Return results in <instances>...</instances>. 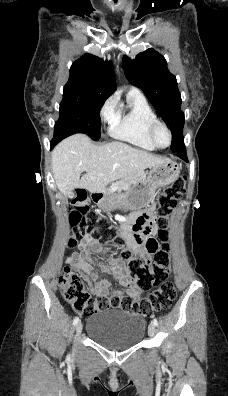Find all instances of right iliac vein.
<instances>
[{"mask_svg": "<svg viewBox=\"0 0 228 396\" xmlns=\"http://www.w3.org/2000/svg\"><path fill=\"white\" fill-rule=\"evenodd\" d=\"M81 331H82V323L79 322V323H77V325H76V334H77V335H80Z\"/></svg>", "mask_w": 228, "mask_h": 396, "instance_id": "obj_1", "label": "right iliac vein"}]
</instances>
